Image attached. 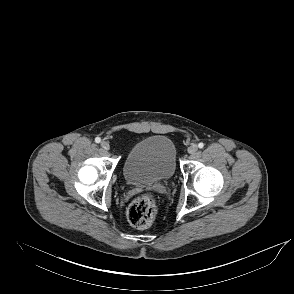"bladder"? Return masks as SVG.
Here are the masks:
<instances>
[{"instance_id":"bladder-1","label":"bladder","mask_w":294,"mask_h":294,"mask_svg":"<svg viewBox=\"0 0 294 294\" xmlns=\"http://www.w3.org/2000/svg\"><path fill=\"white\" fill-rule=\"evenodd\" d=\"M177 149L167 136L154 135L137 142L122 168L125 181L134 187L170 179L176 170Z\"/></svg>"}]
</instances>
